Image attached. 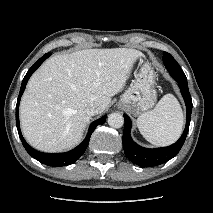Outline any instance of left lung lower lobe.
Listing matches in <instances>:
<instances>
[{
	"label": "left lung lower lobe",
	"mask_w": 213,
	"mask_h": 213,
	"mask_svg": "<svg viewBox=\"0 0 213 213\" xmlns=\"http://www.w3.org/2000/svg\"><path fill=\"white\" fill-rule=\"evenodd\" d=\"M177 82L181 94L185 100L187 109V120L184 132L176 143L168 147L155 149H148L139 146L132 140L130 136V130L132 126L130 118L126 114L123 115L125 120L124 133L122 137L124 151L128 159L134 164L139 165L140 167L156 166L167 162L168 160L172 159L177 155V153L180 151L181 147L184 144L191 120L192 99L189 93L187 83L181 81Z\"/></svg>",
	"instance_id": "0a47b994"
}]
</instances>
